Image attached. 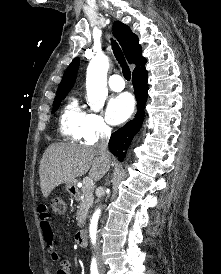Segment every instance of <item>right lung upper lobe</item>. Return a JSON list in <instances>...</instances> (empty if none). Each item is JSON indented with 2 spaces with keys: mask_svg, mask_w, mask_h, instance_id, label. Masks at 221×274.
<instances>
[{
  "mask_svg": "<svg viewBox=\"0 0 221 274\" xmlns=\"http://www.w3.org/2000/svg\"><path fill=\"white\" fill-rule=\"evenodd\" d=\"M113 34L119 41L124 54L130 64L136 65L133 74L145 70L146 58L142 56V48L139 45L138 37L130 30V28L120 21L113 24ZM79 67V58H75L65 71L61 83L58 87L57 94H68L72 89L77 76Z\"/></svg>",
  "mask_w": 221,
  "mask_h": 274,
  "instance_id": "right-lung-upper-lobe-1",
  "label": "right lung upper lobe"
}]
</instances>
